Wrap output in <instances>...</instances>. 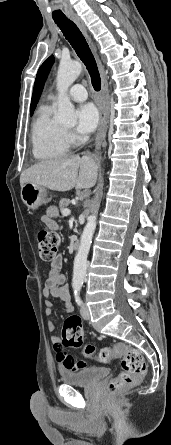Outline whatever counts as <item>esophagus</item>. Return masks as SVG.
I'll return each instance as SVG.
<instances>
[{
    "instance_id": "esophagus-1",
    "label": "esophagus",
    "mask_w": 171,
    "mask_h": 445,
    "mask_svg": "<svg viewBox=\"0 0 171 445\" xmlns=\"http://www.w3.org/2000/svg\"><path fill=\"white\" fill-rule=\"evenodd\" d=\"M72 20L77 25V27L80 29V31L84 34V36L88 39L89 43H91V41L88 37L87 28H86L83 20L77 16L73 17ZM92 49L96 56L97 64H98L100 75H101V83H102L100 124H99V129H98L96 140H95V148H96V151H98L105 139L106 131H107L108 111H109V95H108L107 78H106V74L104 71V67L102 65L100 58L96 54L94 47H92Z\"/></svg>"
}]
</instances>
